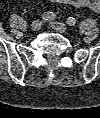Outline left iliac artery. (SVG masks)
<instances>
[{
    "label": "left iliac artery",
    "mask_w": 100,
    "mask_h": 118,
    "mask_svg": "<svg viewBox=\"0 0 100 118\" xmlns=\"http://www.w3.org/2000/svg\"><path fill=\"white\" fill-rule=\"evenodd\" d=\"M66 22L69 26H75L76 25V19L73 17H69Z\"/></svg>",
    "instance_id": "obj_1"
}]
</instances>
